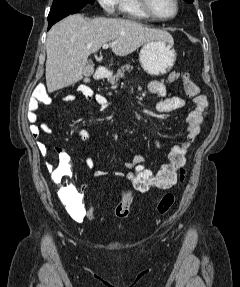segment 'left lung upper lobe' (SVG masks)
<instances>
[{"label": "left lung upper lobe", "instance_id": "obj_1", "mask_svg": "<svg viewBox=\"0 0 240 287\" xmlns=\"http://www.w3.org/2000/svg\"><path fill=\"white\" fill-rule=\"evenodd\" d=\"M188 3H192L194 0H185Z\"/></svg>", "mask_w": 240, "mask_h": 287}]
</instances>
